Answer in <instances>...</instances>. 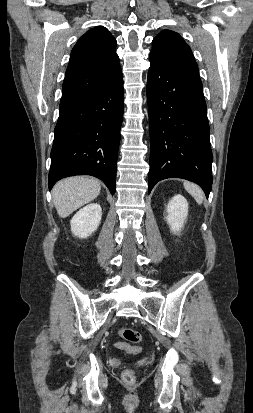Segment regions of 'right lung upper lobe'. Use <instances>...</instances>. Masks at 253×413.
Listing matches in <instances>:
<instances>
[{
  "label": "right lung upper lobe",
  "mask_w": 253,
  "mask_h": 413,
  "mask_svg": "<svg viewBox=\"0 0 253 413\" xmlns=\"http://www.w3.org/2000/svg\"><path fill=\"white\" fill-rule=\"evenodd\" d=\"M121 72L116 40L102 26L86 32L72 49L60 105L85 97Z\"/></svg>",
  "instance_id": "1"
}]
</instances>
